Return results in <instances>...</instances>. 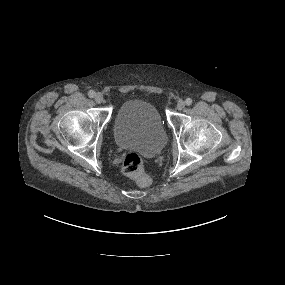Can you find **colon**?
Wrapping results in <instances>:
<instances>
[{
	"label": "colon",
	"mask_w": 285,
	"mask_h": 285,
	"mask_svg": "<svg viewBox=\"0 0 285 285\" xmlns=\"http://www.w3.org/2000/svg\"><path fill=\"white\" fill-rule=\"evenodd\" d=\"M122 170L125 175L132 178L138 185L147 187L151 184V179L145 172L143 159L137 153H128L123 160Z\"/></svg>",
	"instance_id": "1"
}]
</instances>
